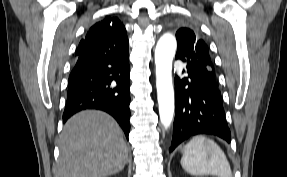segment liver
Instances as JSON below:
<instances>
[{
	"instance_id": "6515ba94",
	"label": "liver",
	"mask_w": 287,
	"mask_h": 177,
	"mask_svg": "<svg viewBox=\"0 0 287 177\" xmlns=\"http://www.w3.org/2000/svg\"><path fill=\"white\" fill-rule=\"evenodd\" d=\"M58 177H106L123 170L128 149L123 132L108 114L86 110L64 125Z\"/></svg>"
}]
</instances>
